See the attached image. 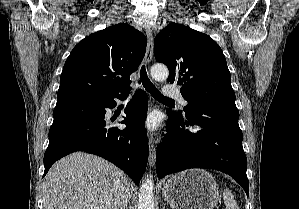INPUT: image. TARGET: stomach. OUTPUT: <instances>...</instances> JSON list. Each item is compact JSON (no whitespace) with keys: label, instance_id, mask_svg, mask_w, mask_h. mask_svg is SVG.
Wrapping results in <instances>:
<instances>
[{"label":"stomach","instance_id":"1","mask_svg":"<svg viewBox=\"0 0 299 209\" xmlns=\"http://www.w3.org/2000/svg\"><path fill=\"white\" fill-rule=\"evenodd\" d=\"M162 193L173 209H213L219 201L217 183L203 169L177 173L163 185Z\"/></svg>","mask_w":299,"mask_h":209}]
</instances>
